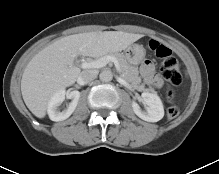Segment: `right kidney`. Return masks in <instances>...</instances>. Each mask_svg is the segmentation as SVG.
Instances as JSON below:
<instances>
[{
  "instance_id": "obj_1",
  "label": "right kidney",
  "mask_w": 219,
  "mask_h": 174,
  "mask_svg": "<svg viewBox=\"0 0 219 174\" xmlns=\"http://www.w3.org/2000/svg\"><path fill=\"white\" fill-rule=\"evenodd\" d=\"M66 93L64 89H61L57 91L49 100L48 106H47V112L49 115V118L52 121H63L71 116V114L74 112V110L77 107L79 98H80V92L77 90H74L70 92L67 95L68 99H72V101L69 103L66 109L60 111L59 106L63 103V101L66 98Z\"/></svg>"
}]
</instances>
